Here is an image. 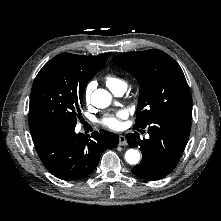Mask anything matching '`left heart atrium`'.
I'll return each instance as SVG.
<instances>
[{
  "label": "left heart atrium",
  "instance_id": "left-heart-atrium-1",
  "mask_svg": "<svg viewBox=\"0 0 221 221\" xmlns=\"http://www.w3.org/2000/svg\"><path fill=\"white\" fill-rule=\"evenodd\" d=\"M126 116L127 113L125 111H119L116 114H109L102 119V124L110 129L117 130L121 128V120Z\"/></svg>",
  "mask_w": 221,
  "mask_h": 221
}]
</instances>
